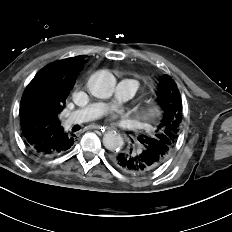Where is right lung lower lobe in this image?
<instances>
[{
	"instance_id": "obj_1",
	"label": "right lung lower lobe",
	"mask_w": 232,
	"mask_h": 232,
	"mask_svg": "<svg viewBox=\"0 0 232 232\" xmlns=\"http://www.w3.org/2000/svg\"><path fill=\"white\" fill-rule=\"evenodd\" d=\"M33 122L31 117L21 118L24 141L36 155L50 157L62 154L69 150L76 141V136L64 132L62 127L51 131L45 129L41 134Z\"/></svg>"
}]
</instances>
